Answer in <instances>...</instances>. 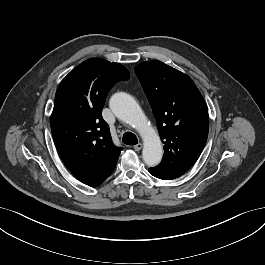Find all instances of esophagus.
<instances>
[{"mask_svg": "<svg viewBox=\"0 0 265 265\" xmlns=\"http://www.w3.org/2000/svg\"><path fill=\"white\" fill-rule=\"evenodd\" d=\"M142 146H143L142 143H138L133 148H134L135 151H140L142 149Z\"/></svg>", "mask_w": 265, "mask_h": 265, "instance_id": "1", "label": "esophagus"}]
</instances>
